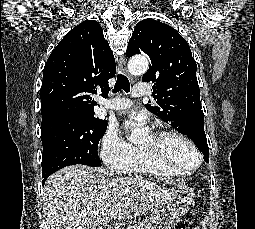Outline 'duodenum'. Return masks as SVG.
Here are the masks:
<instances>
[{
    "mask_svg": "<svg viewBox=\"0 0 255 229\" xmlns=\"http://www.w3.org/2000/svg\"><path fill=\"white\" fill-rule=\"evenodd\" d=\"M107 229H123L122 225L120 224H117V223H113V224H110Z\"/></svg>",
    "mask_w": 255,
    "mask_h": 229,
    "instance_id": "obj_1",
    "label": "duodenum"
}]
</instances>
